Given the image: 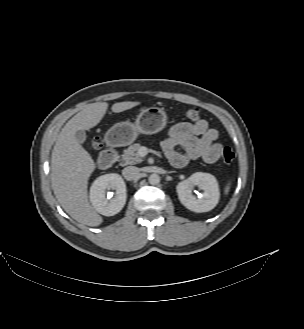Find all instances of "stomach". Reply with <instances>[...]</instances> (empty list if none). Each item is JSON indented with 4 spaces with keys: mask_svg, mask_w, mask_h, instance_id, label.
I'll return each mask as SVG.
<instances>
[{
    "mask_svg": "<svg viewBox=\"0 0 304 329\" xmlns=\"http://www.w3.org/2000/svg\"><path fill=\"white\" fill-rule=\"evenodd\" d=\"M167 124V114L159 107H148L138 114L134 123L124 121L113 125L105 134L108 146L119 147L133 143L139 134L151 135L160 132Z\"/></svg>",
    "mask_w": 304,
    "mask_h": 329,
    "instance_id": "1",
    "label": "stomach"
}]
</instances>
